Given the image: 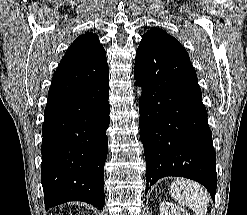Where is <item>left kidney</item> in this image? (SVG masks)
I'll list each match as a JSON object with an SVG mask.
<instances>
[{
    "mask_svg": "<svg viewBox=\"0 0 247 215\" xmlns=\"http://www.w3.org/2000/svg\"><path fill=\"white\" fill-rule=\"evenodd\" d=\"M160 215H190L184 208L174 205L170 202L160 204Z\"/></svg>",
    "mask_w": 247,
    "mask_h": 215,
    "instance_id": "1",
    "label": "left kidney"
}]
</instances>
